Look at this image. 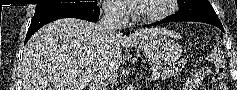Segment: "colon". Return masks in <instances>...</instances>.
Here are the masks:
<instances>
[{
    "label": "colon",
    "instance_id": "colon-1",
    "mask_svg": "<svg viewBox=\"0 0 237 90\" xmlns=\"http://www.w3.org/2000/svg\"><path fill=\"white\" fill-rule=\"evenodd\" d=\"M214 80L217 82L218 90H231L225 70V61L223 53L216 50L213 53Z\"/></svg>",
    "mask_w": 237,
    "mask_h": 90
}]
</instances>
